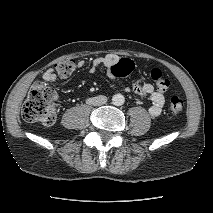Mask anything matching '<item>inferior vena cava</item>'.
Wrapping results in <instances>:
<instances>
[{"label":"inferior vena cava","mask_w":213,"mask_h":213,"mask_svg":"<svg viewBox=\"0 0 213 213\" xmlns=\"http://www.w3.org/2000/svg\"><path fill=\"white\" fill-rule=\"evenodd\" d=\"M107 102V97L104 95H99L96 97H92L87 99V103L93 106H101Z\"/></svg>","instance_id":"1"}]
</instances>
